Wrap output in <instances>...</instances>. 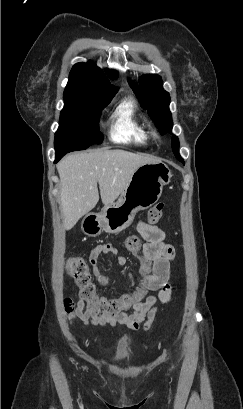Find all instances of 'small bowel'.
<instances>
[{
	"mask_svg": "<svg viewBox=\"0 0 243 409\" xmlns=\"http://www.w3.org/2000/svg\"><path fill=\"white\" fill-rule=\"evenodd\" d=\"M137 231L144 240L142 251L137 255L141 262L138 286L147 292L156 291L157 296L148 295L140 303L129 305L132 312L123 311L117 314L94 310L89 307L84 310V300L80 297L77 302V313L85 325L121 326L130 330L142 328L144 331H148L157 312V303H168L171 300L172 286L169 283V276L170 261L175 255L174 247L165 243V233L156 225H149L140 221L137 225ZM104 255L117 256L120 264L125 263V258L119 256L114 245L100 244L95 246L87 258L94 277L101 285H106L111 281L110 275L103 274L99 268L100 257ZM129 276L135 284L133 275L130 274Z\"/></svg>",
	"mask_w": 243,
	"mask_h": 409,
	"instance_id": "small-bowel-1",
	"label": "small bowel"
}]
</instances>
